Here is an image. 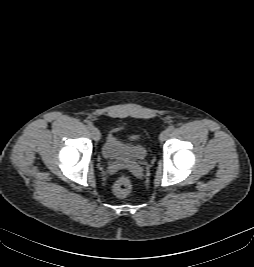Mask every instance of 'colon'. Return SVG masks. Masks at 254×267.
<instances>
[{
	"label": "colon",
	"mask_w": 254,
	"mask_h": 267,
	"mask_svg": "<svg viewBox=\"0 0 254 267\" xmlns=\"http://www.w3.org/2000/svg\"><path fill=\"white\" fill-rule=\"evenodd\" d=\"M113 189H114V193L118 197L124 198V197L129 196L132 192V181L130 177L127 175L121 176L114 184Z\"/></svg>",
	"instance_id": "5ec220e1"
}]
</instances>
